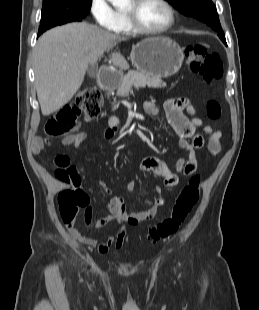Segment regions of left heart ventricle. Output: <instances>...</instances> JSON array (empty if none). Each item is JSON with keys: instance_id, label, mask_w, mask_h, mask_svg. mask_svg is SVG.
Listing matches in <instances>:
<instances>
[{"instance_id": "obj_1", "label": "left heart ventricle", "mask_w": 259, "mask_h": 310, "mask_svg": "<svg viewBox=\"0 0 259 310\" xmlns=\"http://www.w3.org/2000/svg\"><path fill=\"white\" fill-rule=\"evenodd\" d=\"M132 1L126 7V10L132 8ZM139 23L150 29L163 27L169 19V14L163 4L158 0H144L136 11Z\"/></svg>"}]
</instances>
